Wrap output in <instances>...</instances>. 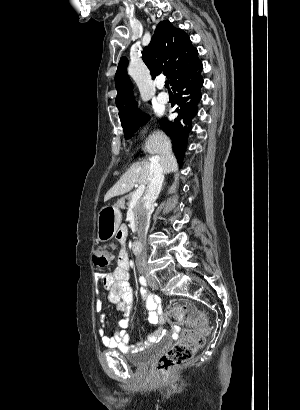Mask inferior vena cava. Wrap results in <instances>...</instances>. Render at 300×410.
I'll use <instances>...</instances> for the list:
<instances>
[{
	"label": "inferior vena cava",
	"mask_w": 300,
	"mask_h": 410,
	"mask_svg": "<svg viewBox=\"0 0 300 410\" xmlns=\"http://www.w3.org/2000/svg\"><path fill=\"white\" fill-rule=\"evenodd\" d=\"M149 183L143 199V208L138 214L139 219V242L144 244L146 242V235L150 224V217L154 210V203L162 188L164 180V171L160 163L153 159L149 165ZM136 257V266L138 271L147 269V253L146 250L141 249Z\"/></svg>",
	"instance_id": "1"
}]
</instances>
